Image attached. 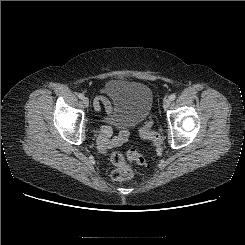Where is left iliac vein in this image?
<instances>
[{
  "label": "left iliac vein",
  "mask_w": 245,
  "mask_h": 245,
  "mask_svg": "<svg viewBox=\"0 0 245 245\" xmlns=\"http://www.w3.org/2000/svg\"><path fill=\"white\" fill-rule=\"evenodd\" d=\"M171 104V100L169 98H165L164 101H163V108L166 110L169 108Z\"/></svg>",
  "instance_id": "1"
}]
</instances>
